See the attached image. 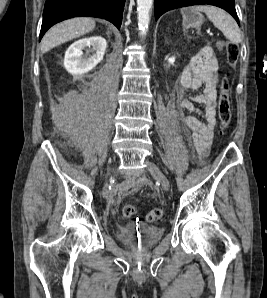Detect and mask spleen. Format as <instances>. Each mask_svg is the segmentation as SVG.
Instances as JSON below:
<instances>
[{"mask_svg":"<svg viewBox=\"0 0 267 298\" xmlns=\"http://www.w3.org/2000/svg\"><path fill=\"white\" fill-rule=\"evenodd\" d=\"M192 10L204 12L207 18L233 44L241 42V32L234 19L224 10L209 5L193 6Z\"/></svg>","mask_w":267,"mask_h":298,"instance_id":"obj_1","label":"spleen"}]
</instances>
